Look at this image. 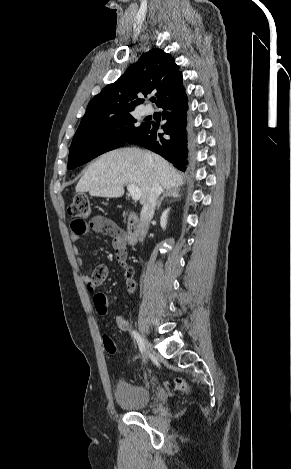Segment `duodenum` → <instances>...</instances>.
I'll use <instances>...</instances> for the list:
<instances>
[{"instance_id": "1", "label": "duodenum", "mask_w": 291, "mask_h": 469, "mask_svg": "<svg viewBox=\"0 0 291 469\" xmlns=\"http://www.w3.org/2000/svg\"><path fill=\"white\" fill-rule=\"evenodd\" d=\"M128 225L125 234L126 243L134 245L137 242L141 230L140 220L135 212L127 210Z\"/></svg>"}]
</instances>
